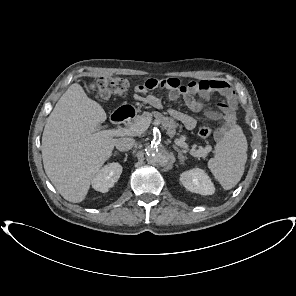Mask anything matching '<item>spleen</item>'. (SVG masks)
Here are the masks:
<instances>
[{"label":"spleen","instance_id":"obj_1","mask_svg":"<svg viewBox=\"0 0 296 296\" xmlns=\"http://www.w3.org/2000/svg\"><path fill=\"white\" fill-rule=\"evenodd\" d=\"M247 161V140L239 126H234L215 147V155L208 168L226 190L241 179Z\"/></svg>","mask_w":296,"mask_h":296}]
</instances>
